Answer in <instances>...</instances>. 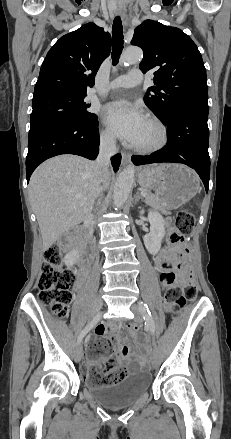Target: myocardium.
Segmentation results:
<instances>
[{
  "label": "myocardium",
  "mask_w": 231,
  "mask_h": 439,
  "mask_svg": "<svg viewBox=\"0 0 231 439\" xmlns=\"http://www.w3.org/2000/svg\"><path fill=\"white\" fill-rule=\"evenodd\" d=\"M147 121L156 127L158 131V139L148 145H133V149L139 153L149 154L154 153L164 148L168 143V129L166 125L156 116H148Z\"/></svg>",
  "instance_id": "myocardium-1"
}]
</instances>
